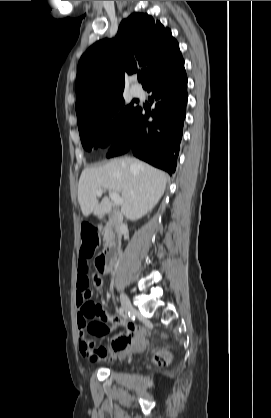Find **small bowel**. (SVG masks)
I'll use <instances>...</instances> for the list:
<instances>
[{
  "instance_id": "obj_1",
  "label": "small bowel",
  "mask_w": 271,
  "mask_h": 418,
  "mask_svg": "<svg viewBox=\"0 0 271 418\" xmlns=\"http://www.w3.org/2000/svg\"><path fill=\"white\" fill-rule=\"evenodd\" d=\"M94 278L96 287L100 286L101 273L95 272ZM76 304L78 307L77 323L81 330L79 349L81 354L92 363L122 358L127 354L142 349L146 344V337L143 330L133 323H127L124 330L110 338L108 348H95L93 343L85 339H94L95 336L101 338L103 333L108 331L104 322L117 324L118 319L106 312L98 299H94L92 291L89 289V274L87 260H80L77 272V294Z\"/></svg>"
}]
</instances>
